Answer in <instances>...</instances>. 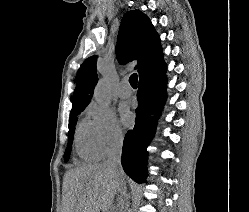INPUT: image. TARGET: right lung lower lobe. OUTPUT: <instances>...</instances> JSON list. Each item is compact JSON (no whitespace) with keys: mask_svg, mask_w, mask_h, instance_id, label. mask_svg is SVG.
<instances>
[{"mask_svg":"<svg viewBox=\"0 0 249 212\" xmlns=\"http://www.w3.org/2000/svg\"><path fill=\"white\" fill-rule=\"evenodd\" d=\"M166 64L163 58L139 75L135 110V126L125 135L121 163L126 174L137 183H144L147 172L148 147L155 124L166 100ZM150 114H155L151 117Z\"/></svg>","mask_w":249,"mask_h":212,"instance_id":"right-lung-lower-lobe-1","label":"right lung lower lobe"}]
</instances>
